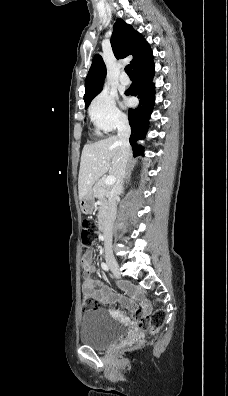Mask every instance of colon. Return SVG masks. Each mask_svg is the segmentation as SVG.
I'll use <instances>...</instances> for the list:
<instances>
[{
    "instance_id": "colon-1",
    "label": "colon",
    "mask_w": 228,
    "mask_h": 396,
    "mask_svg": "<svg viewBox=\"0 0 228 396\" xmlns=\"http://www.w3.org/2000/svg\"><path fill=\"white\" fill-rule=\"evenodd\" d=\"M92 223L85 220L81 229V240L83 245V258L84 260L89 254V231ZM99 307L98 300L90 295H84L82 300V309L84 311L94 310ZM165 322V313L163 310L157 309L150 315H147L139 320V328L142 331H150L152 333L159 330Z\"/></svg>"
}]
</instances>
